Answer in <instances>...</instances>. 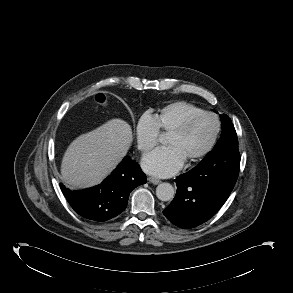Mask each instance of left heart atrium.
<instances>
[{
	"label": "left heart atrium",
	"mask_w": 293,
	"mask_h": 293,
	"mask_svg": "<svg viewBox=\"0 0 293 293\" xmlns=\"http://www.w3.org/2000/svg\"><path fill=\"white\" fill-rule=\"evenodd\" d=\"M185 159L173 146L159 148L147 154L142 160L143 169L157 177H169L177 173L184 165Z\"/></svg>",
	"instance_id": "1"
}]
</instances>
